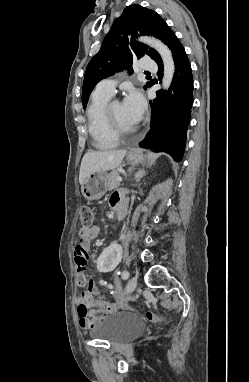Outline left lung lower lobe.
Wrapping results in <instances>:
<instances>
[{
  "instance_id": "left-lung-lower-lobe-1",
  "label": "left lung lower lobe",
  "mask_w": 249,
  "mask_h": 382,
  "mask_svg": "<svg viewBox=\"0 0 249 382\" xmlns=\"http://www.w3.org/2000/svg\"><path fill=\"white\" fill-rule=\"evenodd\" d=\"M169 48L175 62L171 89L166 93L156 92L158 97L152 107L151 127L139 145L156 152H166L180 161L193 104V79L187 54L177 37ZM156 63L159 67L158 75L162 76V60Z\"/></svg>"
}]
</instances>
